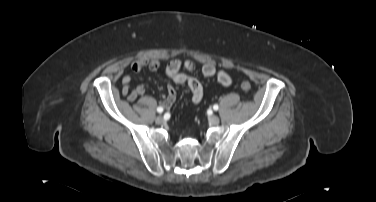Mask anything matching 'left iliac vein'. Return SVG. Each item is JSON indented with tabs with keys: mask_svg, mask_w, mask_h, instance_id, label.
<instances>
[{
	"mask_svg": "<svg viewBox=\"0 0 376 202\" xmlns=\"http://www.w3.org/2000/svg\"><path fill=\"white\" fill-rule=\"evenodd\" d=\"M208 120H209V123L212 124V125H217L220 122L219 117L216 116V115H210L208 117Z\"/></svg>",
	"mask_w": 376,
	"mask_h": 202,
	"instance_id": "4c4485c4",
	"label": "left iliac vein"
}]
</instances>
